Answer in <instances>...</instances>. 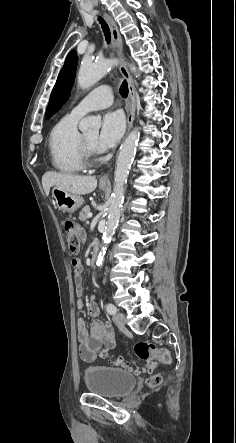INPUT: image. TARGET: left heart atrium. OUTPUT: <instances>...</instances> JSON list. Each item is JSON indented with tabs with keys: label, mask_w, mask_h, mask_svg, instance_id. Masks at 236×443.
<instances>
[{
	"label": "left heart atrium",
	"mask_w": 236,
	"mask_h": 443,
	"mask_svg": "<svg viewBox=\"0 0 236 443\" xmlns=\"http://www.w3.org/2000/svg\"><path fill=\"white\" fill-rule=\"evenodd\" d=\"M124 129L125 121L122 113L118 111L106 113L102 118L94 148L102 152L113 147L123 135Z\"/></svg>",
	"instance_id": "left-heart-atrium-1"
}]
</instances>
